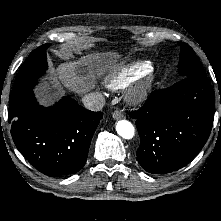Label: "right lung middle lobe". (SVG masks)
Instances as JSON below:
<instances>
[{
	"label": "right lung middle lobe",
	"instance_id": "right-lung-middle-lobe-1",
	"mask_svg": "<svg viewBox=\"0 0 221 221\" xmlns=\"http://www.w3.org/2000/svg\"><path fill=\"white\" fill-rule=\"evenodd\" d=\"M50 44H43L33 50L20 68L14 88H18L27 83L37 80L47 69L46 49Z\"/></svg>",
	"mask_w": 221,
	"mask_h": 221
}]
</instances>
